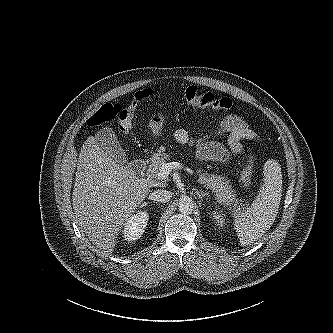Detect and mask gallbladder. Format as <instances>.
I'll list each match as a JSON object with an SVG mask.
<instances>
[{
    "instance_id": "gallbladder-1",
    "label": "gallbladder",
    "mask_w": 333,
    "mask_h": 333,
    "mask_svg": "<svg viewBox=\"0 0 333 333\" xmlns=\"http://www.w3.org/2000/svg\"><path fill=\"white\" fill-rule=\"evenodd\" d=\"M96 141L102 150L121 164L128 163V156L111 128H102L96 134Z\"/></svg>"
}]
</instances>
